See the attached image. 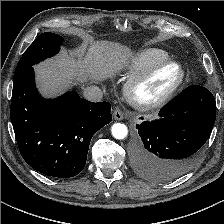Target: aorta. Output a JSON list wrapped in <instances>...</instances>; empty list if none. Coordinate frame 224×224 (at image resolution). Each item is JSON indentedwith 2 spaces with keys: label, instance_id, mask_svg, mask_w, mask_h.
I'll return each mask as SVG.
<instances>
[{
  "label": "aorta",
  "instance_id": "762f6f07",
  "mask_svg": "<svg viewBox=\"0 0 224 224\" xmlns=\"http://www.w3.org/2000/svg\"><path fill=\"white\" fill-rule=\"evenodd\" d=\"M111 132L114 138L124 139L128 134V129L125 124L115 123L112 125Z\"/></svg>",
  "mask_w": 224,
  "mask_h": 224
}]
</instances>
